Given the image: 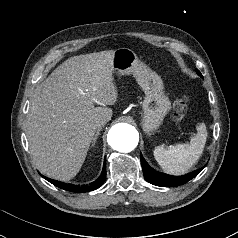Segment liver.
Masks as SVG:
<instances>
[{
	"label": "liver",
	"mask_w": 238,
	"mask_h": 238,
	"mask_svg": "<svg viewBox=\"0 0 238 238\" xmlns=\"http://www.w3.org/2000/svg\"><path fill=\"white\" fill-rule=\"evenodd\" d=\"M114 53L70 57L34 90L26 136L33 162L44 175L60 181L74 178L85 161L97 122L111 120L112 109L107 105L115 104L118 96Z\"/></svg>",
	"instance_id": "obj_1"
}]
</instances>
